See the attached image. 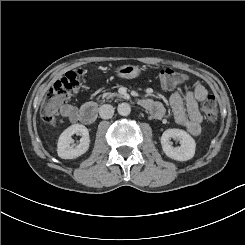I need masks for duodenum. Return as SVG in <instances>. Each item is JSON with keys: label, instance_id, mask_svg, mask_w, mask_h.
I'll return each mask as SVG.
<instances>
[{"label": "duodenum", "instance_id": "duodenum-1", "mask_svg": "<svg viewBox=\"0 0 245 245\" xmlns=\"http://www.w3.org/2000/svg\"><path fill=\"white\" fill-rule=\"evenodd\" d=\"M97 114V106L87 103L79 111V120L84 124H92L96 120Z\"/></svg>", "mask_w": 245, "mask_h": 245}]
</instances>
